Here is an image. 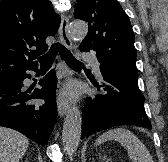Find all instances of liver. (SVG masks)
<instances>
[{"label": "liver", "mask_w": 168, "mask_h": 162, "mask_svg": "<svg viewBox=\"0 0 168 162\" xmlns=\"http://www.w3.org/2000/svg\"><path fill=\"white\" fill-rule=\"evenodd\" d=\"M28 145L29 141L23 134L0 127V162H19Z\"/></svg>", "instance_id": "1"}]
</instances>
